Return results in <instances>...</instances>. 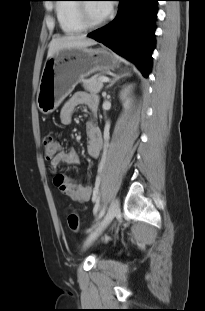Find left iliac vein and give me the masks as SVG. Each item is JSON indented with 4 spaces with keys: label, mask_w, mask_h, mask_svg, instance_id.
<instances>
[{
    "label": "left iliac vein",
    "mask_w": 205,
    "mask_h": 311,
    "mask_svg": "<svg viewBox=\"0 0 205 311\" xmlns=\"http://www.w3.org/2000/svg\"><path fill=\"white\" fill-rule=\"evenodd\" d=\"M119 213V201L114 200L106 215L101 220V222L91 231V233L88 235L84 242V248H88L109 226V224L112 222V220L115 218V216Z\"/></svg>",
    "instance_id": "4c4485c4"
}]
</instances>
